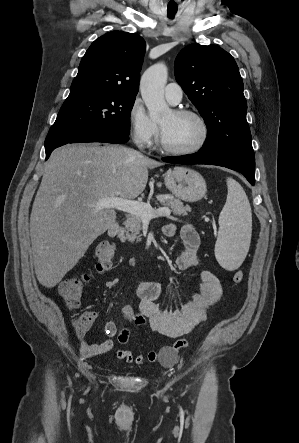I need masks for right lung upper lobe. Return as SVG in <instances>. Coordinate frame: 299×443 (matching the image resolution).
<instances>
[{"instance_id":"cb5924a9","label":"right lung upper lobe","mask_w":299,"mask_h":443,"mask_svg":"<svg viewBox=\"0 0 299 443\" xmlns=\"http://www.w3.org/2000/svg\"><path fill=\"white\" fill-rule=\"evenodd\" d=\"M144 39L111 31L96 39L83 56L71 89L95 88L136 96L145 53Z\"/></svg>"}]
</instances>
